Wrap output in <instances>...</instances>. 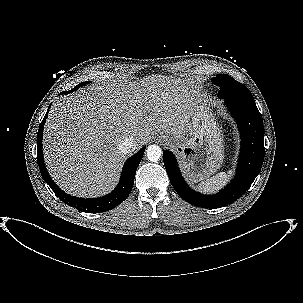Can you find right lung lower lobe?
Masks as SVG:
<instances>
[{"mask_svg": "<svg viewBox=\"0 0 303 303\" xmlns=\"http://www.w3.org/2000/svg\"><path fill=\"white\" fill-rule=\"evenodd\" d=\"M66 93L68 92H63L61 94ZM48 111L39 126L37 134V162L44 181L51 187V189L63 202L85 212H105L121 204L129 196L132 190L135 173L143 157L146 147H142L135 155L131 156L126 160L123 170L121 172L119 184L110 194L94 199H84L68 195L67 193L63 192L51 179L44 163L42 150V134Z\"/></svg>", "mask_w": 303, "mask_h": 303, "instance_id": "right-lung-lower-lobe-1", "label": "right lung lower lobe"}]
</instances>
